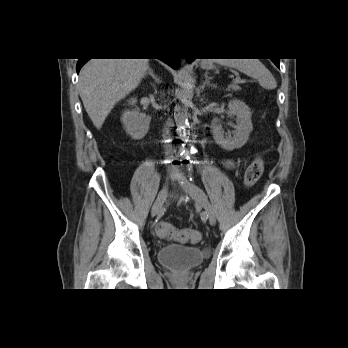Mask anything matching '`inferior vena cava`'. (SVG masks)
Wrapping results in <instances>:
<instances>
[{
  "label": "inferior vena cava",
  "instance_id": "1",
  "mask_svg": "<svg viewBox=\"0 0 348 348\" xmlns=\"http://www.w3.org/2000/svg\"><path fill=\"white\" fill-rule=\"evenodd\" d=\"M166 134H168V130L166 131ZM166 150L170 151L171 150V146H166Z\"/></svg>",
  "mask_w": 348,
  "mask_h": 348
}]
</instances>
